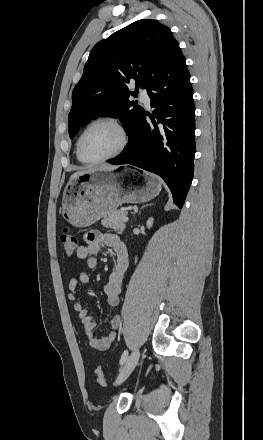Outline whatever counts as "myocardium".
Here are the masks:
<instances>
[{"label":"myocardium","instance_id":"myocardium-1","mask_svg":"<svg viewBox=\"0 0 263 440\" xmlns=\"http://www.w3.org/2000/svg\"><path fill=\"white\" fill-rule=\"evenodd\" d=\"M100 123L112 124L119 131L120 136H121V141H120L118 148L110 155L103 157V158H100V159L90 160V159H87L83 156L82 142H83V139H84L85 135L87 134V132L93 126L100 124ZM129 139H130V137H129L128 130H127L126 126L124 125V123L120 119H118L116 117H112V116L99 117V118L93 120L92 122H90L85 127V129L83 130L81 135L79 136L78 141H77V157L81 162H83L85 164L94 165V164L104 163L106 161H109V160L119 156L126 149L128 143H129Z\"/></svg>","mask_w":263,"mask_h":440}]
</instances>
